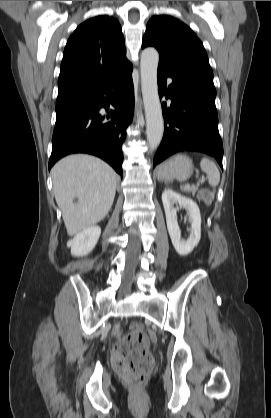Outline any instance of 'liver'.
I'll list each match as a JSON object with an SVG mask.
<instances>
[{"mask_svg": "<svg viewBox=\"0 0 271 418\" xmlns=\"http://www.w3.org/2000/svg\"><path fill=\"white\" fill-rule=\"evenodd\" d=\"M51 173L55 199L69 236L105 218L112 207L117 183L116 172L106 162L76 154L57 162Z\"/></svg>", "mask_w": 271, "mask_h": 418, "instance_id": "6515ba94", "label": "liver"}]
</instances>
